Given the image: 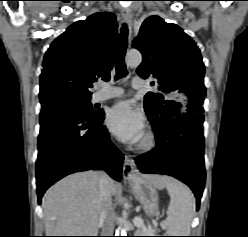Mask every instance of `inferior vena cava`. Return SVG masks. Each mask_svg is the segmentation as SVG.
<instances>
[{"instance_id": "obj_1", "label": "inferior vena cava", "mask_w": 248, "mask_h": 237, "mask_svg": "<svg viewBox=\"0 0 248 237\" xmlns=\"http://www.w3.org/2000/svg\"><path fill=\"white\" fill-rule=\"evenodd\" d=\"M114 218L110 178L105 172H101L99 182V221L102 226V236H113Z\"/></svg>"}]
</instances>
